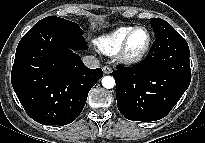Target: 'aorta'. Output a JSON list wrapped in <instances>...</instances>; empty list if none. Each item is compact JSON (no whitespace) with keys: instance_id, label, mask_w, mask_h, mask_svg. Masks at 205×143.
Segmentation results:
<instances>
[{"instance_id":"obj_1","label":"aorta","mask_w":205,"mask_h":143,"mask_svg":"<svg viewBox=\"0 0 205 143\" xmlns=\"http://www.w3.org/2000/svg\"><path fill=\"white\" fill-rule=\"evenodd\" d=\"M102 86L106 89H111L115 86V80L112 76H104L102 78Z\"/></svg>"}]
</instances>
